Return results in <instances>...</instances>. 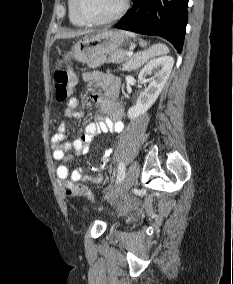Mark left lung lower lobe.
I'll use <instances>...</instances> for the list:
<instances>
[{
    "mask_svg": "<svg viewBox=\"0 0 233 284\" xmlns=\"http://www.w3.org/2000/svg\"><path fill=\"white\" fill-rule=\"evenodd\" d=\"M188 1L134 0L133 7L115 28L163 37L181 53L188 20Z\"/></svg>",
    "mask_w": 233,
    "mask_h": 284,
    "instance_id": "left-lung-lower-lobe-1",
    "label": "left lung lower lobe"
}]
</instances>
